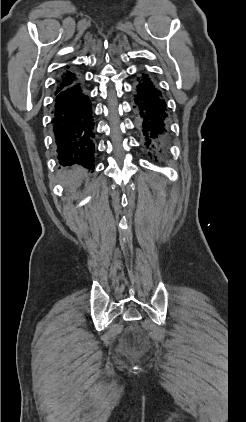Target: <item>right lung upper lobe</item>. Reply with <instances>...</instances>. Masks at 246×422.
<instances>
[{
    "instance_id": "right-lung-upper-lobe-1",
    "label": "right lung upper lobe",
    "mask_w": 246,
    "mask_h": 422,
    "mask_svg": "<svg viewBox=\"0 0 246 422\" xmlns=\"http://www.w3.org/2000/svg\"><path fill=\"white\" fill-rule=\"evenodd\" d=\"M78 78L79 74L76 71L71 70L69 66H66L65 72L61 75L58 81V86L70 84Z\"/></svg>"
}]
</instances>
